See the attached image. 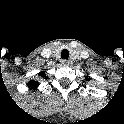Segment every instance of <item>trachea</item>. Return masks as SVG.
Segmentation results:
<instances>
[{
    "mask_svg": "<svg viewBox=\"0 0 124 124\" xmlns=\"http://www.w3.org/2000/svg\"><path fill=\"white\" fill-rule=\"evenodd\" d=\"M61 58L66 60L69 58V51L67 49L61 51Z\"/></svg>",
    "mask_w": 124,
    "mask_h": 124,
    "instance_id": "3493384b",
    "label": "trachea"
}]
</instances>
